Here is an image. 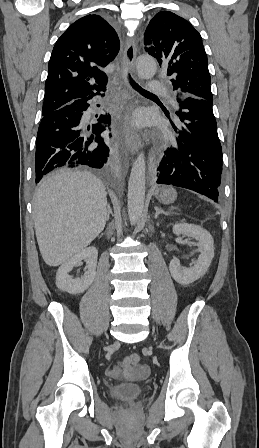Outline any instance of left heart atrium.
Listing matches in <instances>:
<instances>
[{
  "instance_id": "left-heart-atrium-1",
  "label": "left heart atrium",
  "mask_w": 259,
  "mask_h": 448,
  "mask_svg": "<svg viewBox=\"0 0 259 448\" xmlns=\"http://www.w3.org/2000/svg\"><path fill=\"white\" fill-rule=\"evenodd\" d=\"M166 155L170 160H177L180 158L181 155H183V151L181 150L167 151Z\"/></svg>"
}]
</instances>
